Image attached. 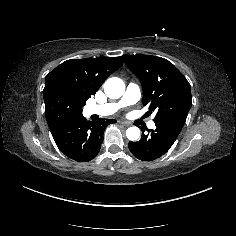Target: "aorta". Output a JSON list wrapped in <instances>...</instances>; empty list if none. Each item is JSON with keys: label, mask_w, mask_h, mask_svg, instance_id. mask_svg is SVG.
<instances>
[{"label": "aorta", "mask_w": 236, "mask_h": 236, "mask_svg": "<svg viewBox=\"0 0 236 236\" xmlns=\"http://www.w3.org/2000/svg\"><path fill=\"white\" fill-rule=\"evenodd\" d=\"M104 91L109 98L118 99L124 94L125 85L121 79L112 77L105 82ZM126 136L129 140L136 141L140 137V129L136 126L129 127Z\"/></svg>", "instance_id": "aorta-1"}]
</instances>
